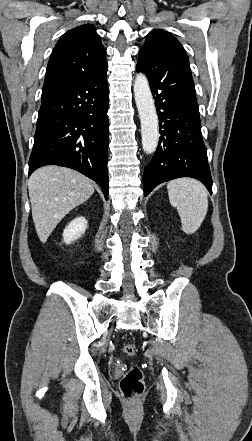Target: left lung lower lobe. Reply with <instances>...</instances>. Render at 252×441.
Here are the masks:
<instances>
[{"mask_svg":"<svg viewBox=\"0 0 252 441\" xmlns=\"http://www.w3.org/2000/svg\"><path fill=\"white\" fill-rule=\"evenodd\" d=\"M136 69L149 80L161 134L157 150L144 170V196L160 183L180 177L196 178L212 193L188 58L176 49L164 48L140 54Z\"/></svg>","mask_w":252,"mask_h":441,"instance_id":"1","label":"left lung lower lobe"}]
</instances>
